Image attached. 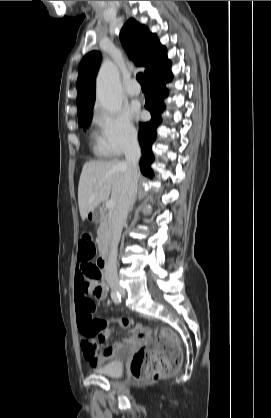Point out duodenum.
<instances>
[{
  "mask_svg": "<svg viewBox=\"0 0 271 418\" xmlns=\"http://www.w3.org/2000/svg\"><path fill=\"white\" fill-rule=\"evenodd\" d=\"M100 218H101V214L99 212H95L94 219L99 220ZM97 264L98 266L102 267V273H105L106 268H107V251L106 250L102 251Z\"/></svg>",
  "mask_w": 271,
  "mask_h": 418,
  "instance_id": "obj_1",
  "label": "duodenum"
}]
</instances>
